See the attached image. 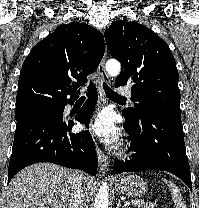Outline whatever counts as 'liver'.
Here are the masks:
<instances>
[{
	"label": "liver",
	"instance_id": "6515ba94",
	"mask_svg": "<svg viewBox=\"0 0 199 208\" xmlns=\"http://www.w3.org/2000/svg\"><path fill=\"white\" fill-rule=\"evenodd\" d=\"M75 172L51 163H36L24 168L10 182L6 208H69ZM94 188V179L86 175V202Z\"/></svg>",
	"mask_w": 199,
	"mask_h": 208
}]
</instances>
